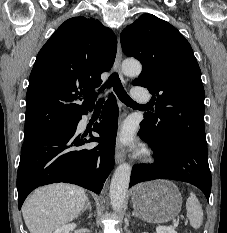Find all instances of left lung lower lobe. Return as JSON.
Wrapping results in <instances>:
<instances>
[{"label": "left lung lower lobe", "instance_id": "0a47b994", "mask_svg": "<svg viewBox=\"0 0 227 233\" xmlns=\"http://www.w3.org/2000/svg\"><path fill=\"white\" fill-rule=\"evenodd\" d=\"M139 135L152 148L155 162L134 166L129 187L154 179L184 181L198 187L209 201L211 172L206 146L185 137H168L154 142L141 130Z\"/></svg>", "mask_w": 227, "mask_h": 233}]
</instances>
